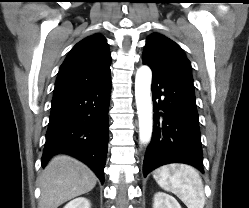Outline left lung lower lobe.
I'll list each match as a JSON object with an SVG mask.
<instances>
[{"label": "left lung lower lobe", "instance_id": "0a47b994", "mask_svg": "<svg viewBox=\"0 0 249 208\" xmlns=\"http://www.w3.org/2000/svg\"><path fill=\"white\" fill-rule=\"evenodd\" d=\"M152 73L154 127L144 176L169 163L189 164L204 172L194 88L176 77Z\"/></svg>", "mask_w": 249, "mask_h": 208}]
</instances>
